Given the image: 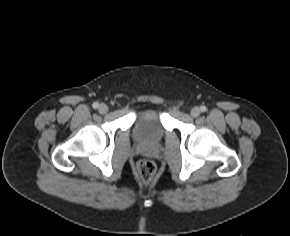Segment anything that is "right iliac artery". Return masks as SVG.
<instances>
[{"instance_id": "right-iliac-artery-1", "label": "right iliac artery", "mask_w": 290, "mask_h": 236, "mask_svg": "<svg viewBox=\"0 0 290 236\" xmlns=\"http://www.w3.org/2000/svg\"><path fill=\"white\" fill-rule=\"evenodd\" d=\"M92 106H93V108L96 109V108H98L99 104L97 102H94Z\"/></svg>"}]
</instances>
